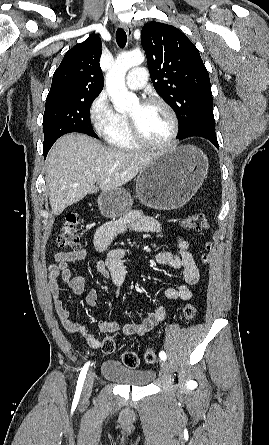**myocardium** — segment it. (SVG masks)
<instances>
[{"instance_id":"1","label":"myocardium","mask_w":269,"mask_h":445,"mask_svg":"<svg viewBox=\"0 0 269 445\" xmlns=\"http://www.w3.org/2000/svg\"><path fill=\"white\" fill-rule=\"evenodd\" d=\"M139 104L141 106H148L152 104L159 105L163 107L167 113L169 114L171 121H172V130L170 135L162 142L159 143H153L148 141L141 133L139 123L137 120V117L133 114H129L128 117V123L130 127V131L132 133V136L136 143L142 147L151 149V150H164L171 146L173 142L176 140L178 133H179V119L175 112V110L172 108L170 104H168L165 100L159 97L150 96L147 98L142 99Z\"/></svg>"}]
</instances>
